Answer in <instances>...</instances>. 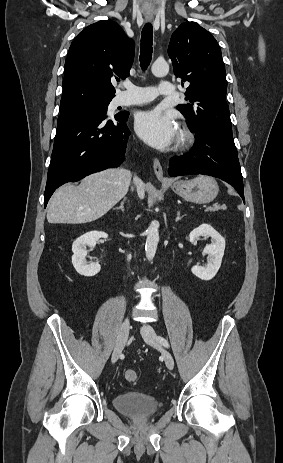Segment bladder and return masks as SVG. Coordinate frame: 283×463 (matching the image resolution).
Masks as SVG:
<instances>
[{
	"mask_svg": "<svg viewBox=\"0 0 283 463\" xmlns=\"http://www.w3.org/2000/svg\"><path fill=\"white\" fill-rule=\"evenodd\" d=\"M113 402L118 412L131 418L150 417L161 406L156 396L137 391L119 393L114 397Z\"/></svg>",
	"mask_w": 283,
	"mask_h": 463,
	"instance_id": "obj_1",
	"label": "bladder"
}]
</instances>
